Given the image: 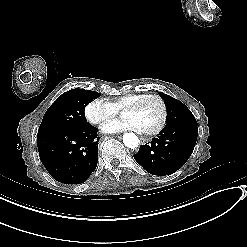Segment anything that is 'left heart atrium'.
<instances>
[{
    "label": "left heart atrium",
    "mask_w": 247,
    "mask_h": 247,
    "mask_svg": "<svg viewBox=\"0 0 247 247\" xmlns=\"http://www.w3.org/2000/svg\"><path fill=\"white\" fill-rule=\"evenodd\" d=\"M107 132H119L124 130H137L140 131L141 127L137 120L133 117L122 119L118 122L112 123L104 127Z\"/></svg>",
    "instance_id": "obj_1"
}]
</instances>
